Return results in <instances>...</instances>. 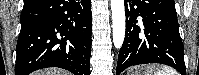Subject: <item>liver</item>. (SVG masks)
Returning <instances> with one entry per match:
<instances>
[{
  "label": "liver",
  "instance_id": "liver-1",
  "mask_svg": "<svg viewBox=\"0 0 199 75\" xmlns=\"http://www.w3.org/2000/svg\"><path fill=\"white\" fill-rule=\"evenodd\" d=\"M33 75H70V74L69 72H66L61 69L50 68V69L37 71Z\"/></svg>",
  "mask_w": 199,
  "mask_h": 75
}]
</instances>
